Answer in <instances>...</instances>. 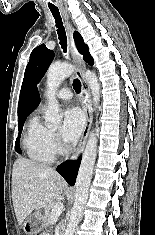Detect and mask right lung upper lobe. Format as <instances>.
Wrapping results in <instances>:
<instances>
[{
    "label": "right lung upper lobe",
    "instance_id": "right-lung-upper-lobe-1",
    "mask_svg": "<svg viewBox=\"0 0 155 235\" xmlns=\"http://www.w3.org/2000/svg\"><path fill=\"white\" fill-rule=\"evenodd\" d=\"M40 103V96L37 87H34L25 96L21 97L18 105L19 120L26 118L34 111Z\"/></svg>",
    "mask_w": 155,
    "mask_h": 235
}]
</instances>
